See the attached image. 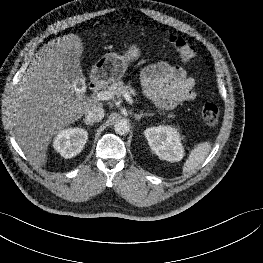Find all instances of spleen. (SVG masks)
Instances as JSON below:
<instances>
[{"label": "spleen", "instance_id": "obj_1", "mask_svg": "<svg viewBox=\"0 0 263 263\" xmlns=\"http://www.w3.org/2000/svg\"><path fill=\"white\" fill-rule=\"evenodd\" d=\"M210 149L211 145L208 142L200 143L194 147L183 165V173L196 169L206 159Z\"/></svg>", "mask_w": 263, "mask_h": 263}]
</instances>
